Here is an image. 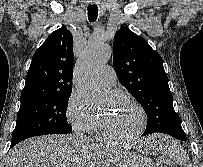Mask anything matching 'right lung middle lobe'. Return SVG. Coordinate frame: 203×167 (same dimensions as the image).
<instances>
[{"instance_id":"obj_1","label":"right lung middle lobe","mask_w":203,"mask_h":167,"mask_svg":"<svg viewBox=\"0 0 203 167\" xmlns=\"http://www.w3.org/2000/svg\"><path fill=\"white\" fill-rule=\"evenodd\" d=\"M70 95L54 94L21 101L11 144L33 136L71 133L66 118Z\"/></svg>"}]
</instances>
